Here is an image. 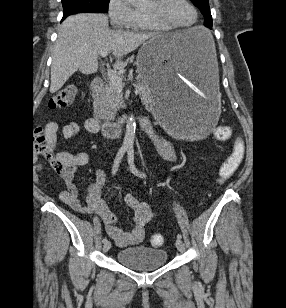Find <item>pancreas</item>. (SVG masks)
I'll use <instances>...</instances> for the list:
<instances>
[{
  "instance_id": "1",
  "label": "pancreas",
  "mask_w": 286,
  "mask_h": 308,
  "mask_svg": "<svg viewBox=\"0 0 286 308\" xmlns=\"http://www.w3.org/2000/svg\"><path fill=\"white\" fill-rule=\"evenodd\" d=\"M137 88L141 91L142 102L148 105L152 97L151 89L144 82L138 84ZM93 98L95 117L106 121L114 120L122 101V94L114 87L112 82H108L102 89L96 92Z\"/></svg>"
}]
</instances>
